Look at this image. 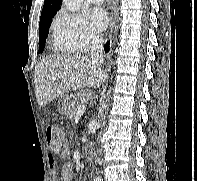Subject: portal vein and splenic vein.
Returning a JSON list of instances; mask_svg holds the SVG:
<instances>
[{
	"mask_svg": "<svg viewBox=\"0 0 197 181\" xmlns=\"http://www.w3.org/2000/svg\"><path fill=\"white\" fill-rule=\"evenodd\" d=\"M85 110H86V107H85L84 105L79 106L78 109H77L76 116H81V115H83L84 112H85Z\"/></svg>",
	"mask_w": 197,
	"mask_h": 181,
	"instance_id": "portal-vein-and-splenic-vein-1",
	"label": "portal vein and splenic vein"
}]
</instances>
